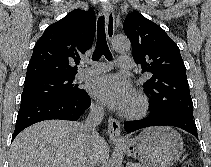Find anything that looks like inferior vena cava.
Masks as SVG:
<instances>
[{
	"label": "inferior vena cava",
	"instance_id": "obj_1",
	"mask_svg": "<svg viewBox=\"0 0 211 167\" xmlns=\"http://www.w3.org/2000/svg\"><path fill=\"white\" fill-rule=\"evenodd\" d=\"M104 116V109L101 106H92L90 108L89 115L85 121V131L89 133L90 139L93 143L100 139V136L96 130V127L100 125ZM96 153L88 151L86 157L82 163V167H95Z\"/></svg>",
	"mask_w": 211,
	"mask_h": 167
}]
</instances>
